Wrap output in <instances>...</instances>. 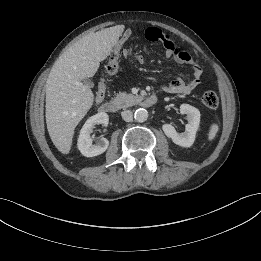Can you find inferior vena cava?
I'll return each mask as SVG.
<instances>
[{
    "label": "inferior vena cava",
    "instance_id": "602c4592",
    "mask_svg": "<svg viewBox=\"0 0 261 261\" xmlns=\"http://www.w3.org/2000/svg\"><path fill=\"white\" fill-rule=\"evenodd\" d=\"M121 116H122V118H123L124 121L130 122V121H132V119H133V112L130 111V110H126V111H123V112L121 113Z\"/></svg>",
    "mask_w": 261,
    "mask_h": 261
}]
</instances>
